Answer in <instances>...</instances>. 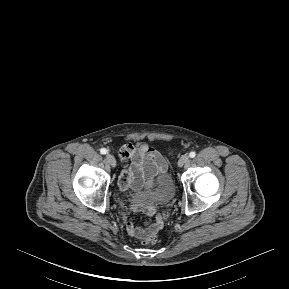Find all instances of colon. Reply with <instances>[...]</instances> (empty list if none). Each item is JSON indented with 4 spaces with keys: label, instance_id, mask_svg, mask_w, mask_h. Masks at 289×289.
<instances>
[{
    "label": "colon",
    "instance_id": "1",
    "mask_svg": "<svg viewBox=\"0 0 289 289\" xmlns=\"http://www.w3.org/2000/svg\"><path fill=\"white\" fill-rule=\"evenodd\" d=\"M158 241V236L157 233L151 234L145 239L142 240V243L147 245V244H155Z\"/></svg>",
    "mask_w": 289,
    "mask_h": 289
}]
</instances>
